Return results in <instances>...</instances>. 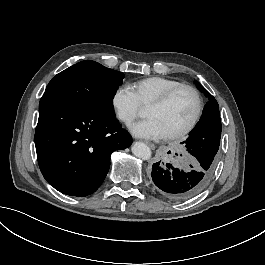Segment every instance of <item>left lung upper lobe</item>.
I'll use <instances>...</instances> for the list:
<instances>
[{
	"mask_svg": "<svg viewBox=\"0 0 265 265\" xmlns=\"http://www.w3.org/2000/svg\"><path fill=\"white\" fill-rule=\"evenodd\" d=\"M196 84L199 90L204 92L209 98V102L204 107L201 119L190 132L187 140L183 142L193 156H196V153L201 154L202 151L207 149L217 152L221 137V119L218 103L198 82Z\"/></svg>",
	"mask_w": 265,
	"mask_h": 265,
	"instance_id": "obj_1",
	"label": "left lung upper lobe"
}]
</instances>
